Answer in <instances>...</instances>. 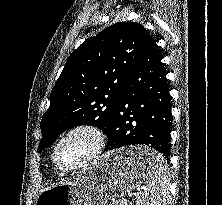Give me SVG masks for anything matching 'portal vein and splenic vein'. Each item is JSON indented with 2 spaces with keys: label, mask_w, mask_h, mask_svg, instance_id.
<instances>
[{
  "label": "portal vein and splenic vein",
  "mask_w": 222,
  "mask_h": 205,
  "mask_svg": "<svg viewBox=\"0 0 222 205\" xmlns=\"http://www.w3.org/2000/svg\"><path fill=\"white\" fill-rule=\"evenodd\" d=\"M141 193V189L138 188L137 190L133 191L129 196L137 197ZM123 201L128 202V200L123 199Z\"/></svg>",
  "instance_id": "1"
}]
</instances>
